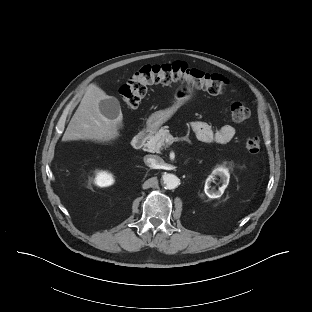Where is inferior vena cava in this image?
<instances>
[{"instance_id":"obj_1","label":"inferior vena cava","mask_w":312,"mask_h":312,"mask_svg":"<svg viewBox=\"0 0 312 312\" xmlns=\"http://www.w3.org/2000/svg\"><path fill=\"white\" fill-rule=\"evenodd\" d=\"M144 163L153 169H159L163 165L164 161L159 156L147 155L144 157Z\"/></svg>"}]
</instances>
